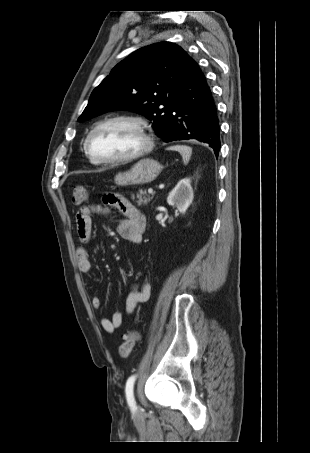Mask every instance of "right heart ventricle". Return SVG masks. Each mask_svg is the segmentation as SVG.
Returning a JSON list of instances; mask_svg holds the SVG:
<instances>
[{
    "mask_svg": "<svg viewBox=\"0 0 310 453\" xmlns=\"http://www.w3.org/2000/svg\"><path fill=\"white\" fill-rule=\"evenodd\" d=\"M89 160H90V162H91L92 164H94V165H97V164H98L97 162L93 161V160L90 159V158H89Z\"/></svg>",
    "mask_w": 310,
    "mask_h": 453,
    "instance_id": "right-heart-ventricle-1",
    "label": "right heart ventricle"
}]
</instances>
